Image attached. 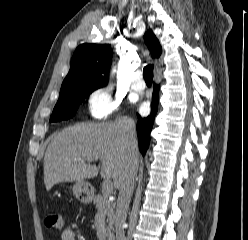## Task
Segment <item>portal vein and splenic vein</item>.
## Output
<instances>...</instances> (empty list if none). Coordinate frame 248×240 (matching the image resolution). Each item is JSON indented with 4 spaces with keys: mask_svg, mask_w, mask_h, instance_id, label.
<instances>
[{
    "mask_svg": "<svg viewBox=\"0 0 248 240\" xmlns=\"http://www.w3.org/2000/svg\"><path fill=\"white\" fill-rule=\"evenodd\" d=\"M104 195L109 196L113 191V184L109 179H105L102 184Z\"/></svg>",
    "mask_w": 248,
    "mask_h": 240,
    "instance_id": "portal-vein-and-splenic-vein-1",
    "label": "portal vein and splenic vein"
}]
</instances>
